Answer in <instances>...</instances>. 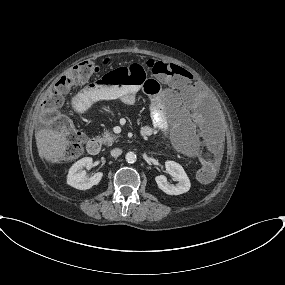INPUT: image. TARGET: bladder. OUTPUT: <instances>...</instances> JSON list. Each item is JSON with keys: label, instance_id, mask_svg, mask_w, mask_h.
Listing matches in <instances>:
<instances>
[{"label": "bladder", "instance_id": "1", "mask_svg": "<svg viewBox=\"0 0 285 285\" xmlns=\"http://www.w3.org/2000/svg\"><path fill=\"white\" fill-rule=\"evenodd\" d=\"M174 147L178 152L183 154H189L195 150L194 146L189 140H183V139L177 140L174 143Z\"/></svg>", "mask_w": 285, "mask_h": 285}]
</instances>
